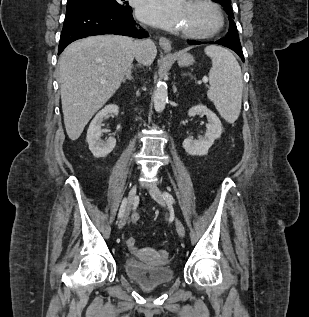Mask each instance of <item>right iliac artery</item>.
Returning <instances> with one entry per match:
<instances>
[{
  "label": "right iliac artery",
  "mask_w": 309,
  "mask_h": 317,
  "mask_svg": "<svg viewBox=\"0 0 309 317\" xmlns=\"http://www.w3.org/2000/svg\"><path fill=\"white\" fill-rule=\"evenodd\" d=\"M126 204H127V198H124L122 200V203H121V206H120V209H119L118 219H120L123 216V214L125 212Z\"/></svg>",
  "instance_id": "right-iliac-artery-1"
}]
</instances>
